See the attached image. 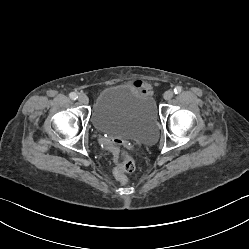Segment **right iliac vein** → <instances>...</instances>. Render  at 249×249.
<instances>
[{
	"label": "right iliac vein",
	"instance_id": "1",
	"mask_svg": "<svg viewBox=\"0 0 249 249\" xmlns=\"http://www.w3.org/2000/svg\"><path fill=\"white\" fill-rule=\"evenodd\" d=\"M78 100L80 103L82 104H88L89 100L88 97L86 95H79Z\"/></svg>",
	"mask_w": 249,
	"mask_h": 249
}]
</instances>
